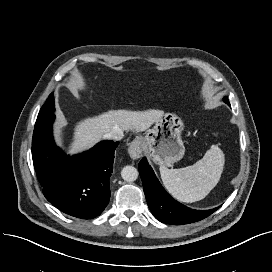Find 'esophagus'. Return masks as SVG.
<instances>
[{
    "mask_svg": "<svg viewBox=\"0 0 272 272\" xmlns=\"http://www.w3.org/2000/svg\"><path fill=\"white\" fill-rule=\"evenodd\" d=\"M143 144L140 138L134 139L128 148V153L132 159H138L142 156Z\"/></svg>",
    "mask_w": 272,
    "mask_h": 272,
    "instance_id": "1",
    "label": "esophagus"
}]
</instances>
